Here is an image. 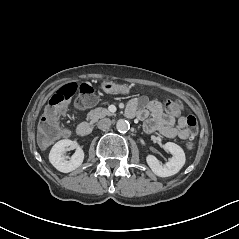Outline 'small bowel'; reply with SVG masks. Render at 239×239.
Listing matches in <instances>:
<instances>
[{
    "label": "small bowel",
    "mask_w": 239,
    "mask_h": 239,
    "mask_svg": "<svg viewBox=\"0 0 239 239\" xmlns=\"http://www.w3.org/2000/svg\"><path fill=\"white\" fill-rule=\"evenodd\" d=\"M127 114L144 121L146 132H158L168 138L187 139L189 133L186 117H176L163 112L158 101L141 96L131 100L127 106Z\"/></svg>",
    "instance_id": "obj_1"
}]
</instances>
